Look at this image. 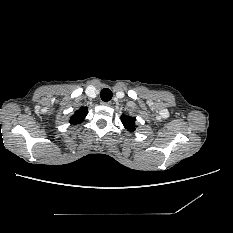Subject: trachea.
I'll use <instances>...</instances> for the list:
<instances>
[{
	"instance_id": "trachea-1",
	"label": "trachea",
	"mask_w": 233,
	"mask_h": 233,
	"mask_svg": "<svg viewBox=\"0 0 233 233\" xmlns=\"http://www.w3.org/2000/svg\"><path fill=\"white\" fill-rule=\"evenodd\" d=\"M112 91L109 88H104L101 90L100 97L102 101L108 102L112 99Z\"/></svg>"
}]
</instances>
